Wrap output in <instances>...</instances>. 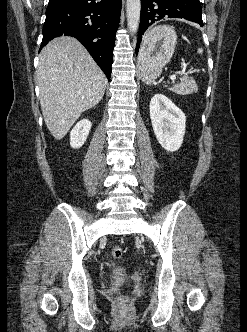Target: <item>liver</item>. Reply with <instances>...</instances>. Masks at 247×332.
<instances>
[{"instance_id": "obj_1", "label": "liver", "mask_w": 247, "mask_h": 332, "mask_svg": "<svg viewBox=\"0 0 247 332\" xmlns=\"http://www.w3.org/2000/svg\"><path fill=\"white\" fill-rule=\"evenodd\" d=\"M36 80L45 124L62 139L81 116L103 98L107 79L86 49L62 36L41 51Z\"/></svg>"}]
</instances>
